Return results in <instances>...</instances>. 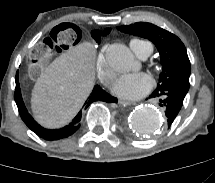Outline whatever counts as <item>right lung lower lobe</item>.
<instances>
[{
	"mask_svg": "<svg viewBox=\"0 0 215 183\" xmlns=\"http://www.w3.org/2000/svg\"><path fill=\"white\" fill-rule=\"evenodd\" d=\"M77 33H80V32L77 31ZM15 81H16V88H15L14 99L16 101L20 116L22 120L25 122V124L39 137L50 141L58 140L74 134L79 129L80 122L83 116V110H80V112L76 115V117L72 120V122L63 128L51 130V129H45L41 127L28 113L23 103L20 85H19L18 73L16 74ZM95 101H104V102L111 103V102H117V99L115 97H112L106 91H104L99 85H96L92 93L88 97L87 101L85 102L83 108L87 109V107Z\"/></svg>",
	"mask_w": 215,
	"mask_h": 183,
	"instance_id": "1",
	"label": "right lung lower lobe"
}]
</instances>
